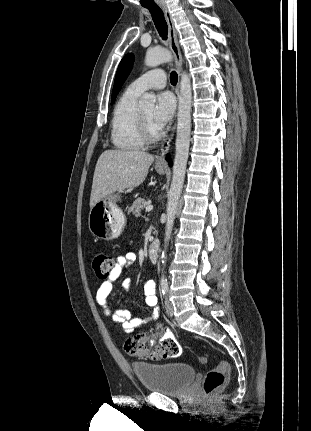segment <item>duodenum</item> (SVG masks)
Wrapping results in <instances>:
<instances>
[{"mask_svg": "<svg viewBox=\"0 0 311 431\" xmlns=\"http://www.w3.org/2000/svg\"><path fill=\"white\" fill-rule=\"evenodd\" d=\"M159 241L154 240L148 249V256L151 262H156L159 256Z\"/></svg>", "mask_w": 311, "mask_h": 431, "instance_id": "1", "label": "duodenum"}]
</instances>
